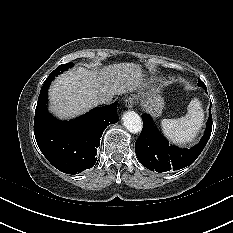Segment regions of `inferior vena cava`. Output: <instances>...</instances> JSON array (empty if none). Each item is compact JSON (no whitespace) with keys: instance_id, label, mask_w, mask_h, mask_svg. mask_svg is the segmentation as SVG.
<instances>
[{"instance_id":"obj_1","label":"inferior vena cava","mask_w":233,"mask_h":233,"mask_svg":"<svg viewBox=\"0 0 233 233\" xmlns=\"http://www.w3.org/2000/svg\"><path fill=\"white\" fill-rule=\"evenodd\" d=\"M113 95H101L98 98V103L100 104H110L112 102Z\"/></svg>"}]
</instances>
